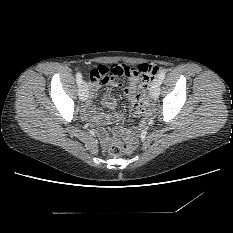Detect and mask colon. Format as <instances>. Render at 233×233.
<instances>
[{"label":"colon","mask_w":233,"mask_h":233,"mask_svg":"<svg viewBox=\"0 0 233 233\" xmlns=\"http://www.w3.org/2000/svg\"><path fill=\"white\" fill-rule=\"evenodd\" d=\"M122 66L124 69V76L138 78L142 83L152 82L159 72V68L156 65L148 63L140 64L137 66ZM90 78L93 82H106L110 79V72L106 67L99 65L91 71ZM138 100L144 104L147 102V96L144 93H141L138 96ZM107 152L112 156H122L129 154L131 149L126 144L117 143L111 145Z\"/></svg>","instance_id":"colon-1"}]
</instances>
